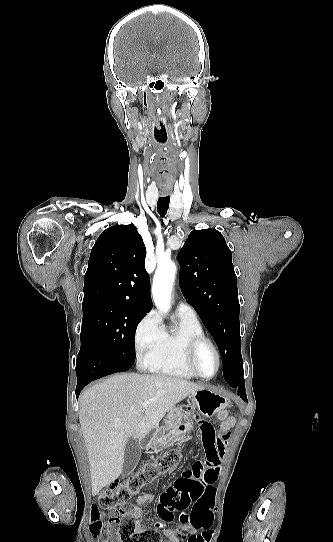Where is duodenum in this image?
<instances>
[{
    "mask_svg": "<svg viewBox=\"0 0 333 542\" xmlns=\"http://www.w3.org/2000/svg\"><path fill=\"white\" fill-rule=\"evenodd\" d=\"M141 446L143 448H149L151 446V439L150 437H142L141 438Z\"/></svg>",
    "mask_w": 333,
    "mask_h": 542,
    "instance_id": "410a0bca",
    "label": "duodenum"
}]
</instances>
